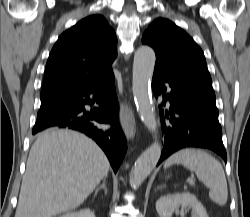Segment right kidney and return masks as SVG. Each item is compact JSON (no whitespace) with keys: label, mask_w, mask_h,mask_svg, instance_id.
<instances>
[{"label":"right kidney","mask_w":250,"mask_h":217,"mask_svg":"<svg viewBox=\"0 0 250 217\" xmlns=\"http://www.w3.org/2000/svg\"><path fill=\"white\" fill-rule=\"evenodd\" d=\"M60 217H95L90 209H83L78 212H69Z\"/></svg>","instance_id":"1"}]
</instances>
